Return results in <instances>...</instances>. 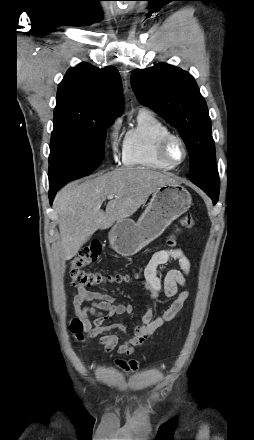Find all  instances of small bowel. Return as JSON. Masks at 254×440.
Instances as JSON below:
<instances>
[{"label":"small bowel","instance_id":"small-bowel-1","mask_svg":"<svg viewBox=\"0 0 254 440\" xmlns=\"http://www.w3.org/2000/svg\"><path fill=\"white\" fill-rule=\"evenodd\" d=\"M170 260L178 261L179 268L169 270L161 278L158 275V267ZM189 271L190 262L183 251L180 248H168L156 251L146 267L141 272L134 273L135 279L142 282L152 300L158 299L161 294L167 297L176 296L169 308L159 317L154 318L153 308L149 306L138 323L132 326L124 322H109L115 316L133 313L134 307L131 304L116 302L111 295L93 292L81 286L73 293L75 312L83 322L88 336L99 337L98 345L103 347L104 353L116 351L120 355L132 354L135 346L142 345L157 329L180 315L189 294L187 291L179 293L178 289L185 285ZM90 317L94 318L93 324L89 320ZM115 330L124 334L131 330L132 334L119 343L118 336L112 333ZM130 364L137 365L136 362ZM119 365L130 370L123 362H119Z\"/></svg>","mask_w":254,"mask_h":440}]
</instances>
